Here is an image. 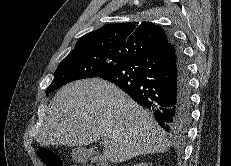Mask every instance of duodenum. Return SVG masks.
<instances>
[{
    "label": "duodenum",
    "mask_w": 231,
    "mask_h": 166,
    "mask_svg": "<svg viewBox=\"0 0 231 166\" xmlns=\"http://www.w3.org/2000/svg\"><path fill=\"white\" fill-rule=\"evenodd\" d=\"M79 158L81 160H91L92 162L95 163V166H107V164L103 161L102 158H100L99 156H96L92 153H89V152L80 153Z\"/></svg>",
    "instance_id": "410a0bca"
}]
</instances>
